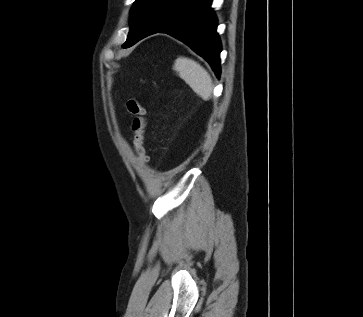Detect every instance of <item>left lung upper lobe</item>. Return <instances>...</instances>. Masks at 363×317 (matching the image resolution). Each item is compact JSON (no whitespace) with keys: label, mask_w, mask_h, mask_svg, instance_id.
Listing matches in <instances>:
<instances>
[{"label":"left lung upper lobe","mask_w":363,"mask_h":317,"mask_svg":"<svg viewBox=\"0 0 363 317\" xmlns=\"http://www.w3.org/2000/svg\"><path fill=\"white\" fill-rule=\"evenodd\" d=\"M158 0H136L131 9L130 32L123 46L130 47L145 31Z\"/></svg>","instance_id":"1"}]
</instances>
